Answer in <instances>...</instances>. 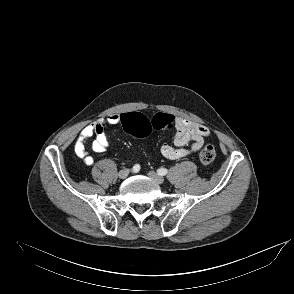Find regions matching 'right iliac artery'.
Returning <instances> with one entry per match:
<instances>
[{"instance_id": "1", "label": "right iliac artery", "mask_w": 294, "mask_h": 294, "mask_svg": "<svg viewBox=\"0 0 294 294\" xmlns=\"http://www.w3.org/2000/svg\"><path fill=\"white\" fill-rule=\"evenodd\" d=\"M139 170H140V165L136 164L133 166V169H132L133 173H137L139 172Z\"/></svg>"}]
</instances>
